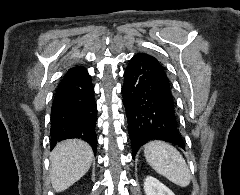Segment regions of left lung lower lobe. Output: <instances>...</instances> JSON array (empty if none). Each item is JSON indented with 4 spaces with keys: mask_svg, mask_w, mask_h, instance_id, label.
Here are the masks:
<instances>
[{
    "mask_svg": "<svg viewBox=\"0 0 240 195\" xmlns=\"http://www.w3.org/2000/svg\"><path fill=\"white\" fill-rule=\"evenodd\" d=\"M124 79L123 104L133 158L142 145L154 139L184 148L177 128L170 82L158 60L144 53L133 56Z\"/></svg>",
    "mask_w": 240,
    "mask_h": 195,
    "instance_id": "1",
    "label": "left lung lower lobe"
}]
</instances>
